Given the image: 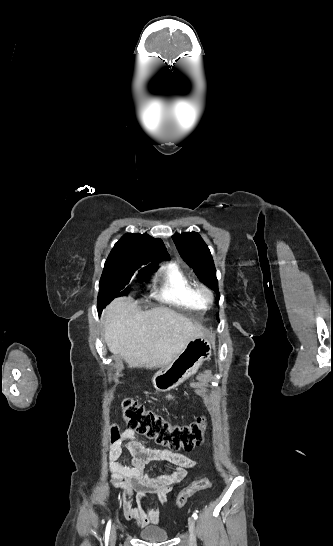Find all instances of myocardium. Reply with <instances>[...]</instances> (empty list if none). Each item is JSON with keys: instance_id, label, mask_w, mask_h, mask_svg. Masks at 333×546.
Masks as SVG:
<instances>
[{"instance_id": "f54148a6", "label": "myocardium", "mask_w": 333, "mask_h": 546, "mask_svg": "<svg viewBox=\"0 0 333 546\" xmlns=\"http://www.w3.org/2000/svg\"><path fill=\"white\" fill-rule=\"evenodd\" d=\"M196 288H197V293H198L200 299L205 304H211L213 302L214 295H213V292H212V290L210 288H208L207 286H205L203 284L197 285Z\"/></svg>"}]
</instances>
